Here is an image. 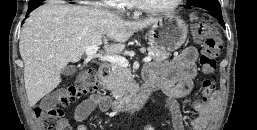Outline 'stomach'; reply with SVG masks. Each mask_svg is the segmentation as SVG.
I'll return each instance as SVG.
<instances>
[{
	"mask_svg": "<svg viewBox=\"0 0 257 130\" xmlns=\"http://www.w3.org/2000/svg\"><path fill=\"white\" fill-rule=\"evenodd\" d=\"M187 33L188 27L178 15L167 14L149 27L147 35L157 48L173 51L184 44Z\"/></svg>",
	"mask_w": 257,
	"mask_h": 130,
	"instance_id": "obj_1",
	"label": "stomach"
}]
</instances>
